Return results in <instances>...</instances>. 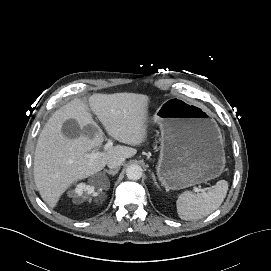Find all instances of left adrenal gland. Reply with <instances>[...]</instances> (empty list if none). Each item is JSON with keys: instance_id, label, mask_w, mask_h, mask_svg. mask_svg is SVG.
<instances>
[{"instance_id": "left-adrenal-gland-1", "label": "left adrenal gland", "mask_w": 271, "mask_h": 271, "mask_svg": "<svg viewBox=\"0 0 271 271\" xmlns=\"http://www.w3.org/2000/svg\"><path fill=\"white\" fill-rule=\"evenodd\" d=\"M151 175H152V179H153V181H154V184L158 187V184H157V182H156V178H155L154 173L152 172Z\"/></svg>"}]
</instances>
